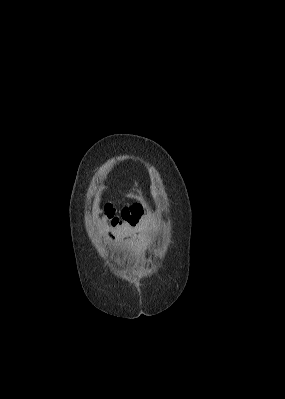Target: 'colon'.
Instances as JSON below:
<instances>
[{
	"label": "colon",
	"instance_id": "obj_1",
	"mask_svg": "<svg viewBox=\"0 0 285 399\" xmlns=\"http://www.w3.org/2000/svg\"><path fill=\"white\" fill-rule=\"evenodd\" d=\"M107 215H108V218H109V222H108L109 226H116V225H118L121 222V220L118 217H116L114 215V213L110 212L109 209H107Z\"/></svg>",
	"mask_w": 285,
	"mask_h": 399
}]
</instances>
